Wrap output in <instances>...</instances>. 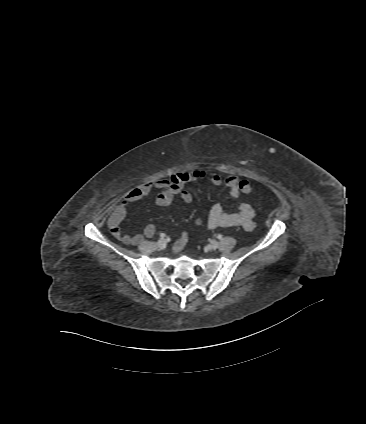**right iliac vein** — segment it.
I'll return each mask as SVG.
<instances>
[{
	"instance_id": "obj_1",
	"label": "right iliac vein",
	"mask_w": 366,
	"mask_h": 424,
	"mask_svg": "<svg viewBox=\"0 0 366 424\" xmlns=\"http://www.w3.org/2000/svg\"><path fill=\"white\" fill-rule=\"evenodd\" d=\"M166 245H167V242H166V240H165V239H163V238L159 239V240H158V242H157V246H158L160 249H164V248L166 247Z\"/></svg>"
}]
</instances>
